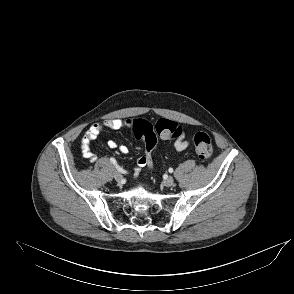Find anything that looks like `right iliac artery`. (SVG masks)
<instances>
[{"mask_svg":"<svg viewBox=\"0 0 294 294\" xmlns=\"http://www.w3.org/2000/svg\"><path fill=\"white\" fill-rule=\"evenodd\" d=\"M111 163L116 167V169L121 173H126L125 170H123L116 162L114 158H110Z\"/></svg>","mask_w":294,"mask_h":294,"instance_id":"right-iliac-artery-1","label":"right iliac artery"}]
</instances>
